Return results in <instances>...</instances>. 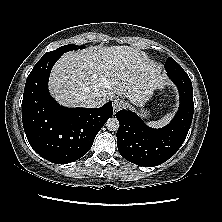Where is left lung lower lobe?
Here are the masks:
<instances>
[{
    "instance_id": "0a47b994",
    "label": "left lung lower lobe",
    "mask_w": 222,
    "mask_h": 222,
    "mask_svg": "<svg viewBox=\"0 0 222 222\" xmlns=\"http://www.w3.org/2000/svg\"><path fill=\"white\" fill-rule=\"evenodd\" d=\"M180 95L179 110L165 127L153 129L125 109L116 113L119 153L128 161L146 167L160 165L171 158L183 144L192 123L194 104L192 83L185 71L167 72Z\"/></svg>"
}]
</instances>
